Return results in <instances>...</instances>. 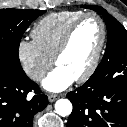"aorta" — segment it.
<instances>
[{
    "label": "aorta",
    "instance_id": "obj_1",
    "mask_svg": "<svg viewBox=\"0 0 127 127\" xmlns=\"http://www.w3.org/2000/svg\"><path fill=\"white\" fill-rule=\"evenodd\" d=\"M55 110L60 116H68L72 112V103L68 99H59L55 103Z\"/></svg>",
    "mask_w": 127,
    "mask_h": 127
}]
</instances>
